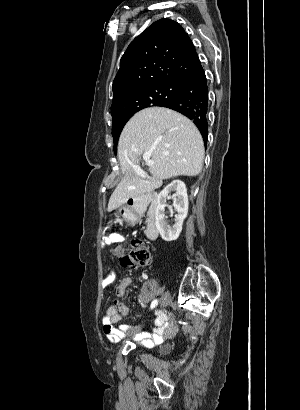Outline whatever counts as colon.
<instances>
[{"instance_id":"1","label":"colon","mask_w":300,"mask_h":410,"mask_svg":"<svg viewBox=\"0 0 300 410\" xmlns=\"http://www.w3.org/2000/svg\"><path fill=\"white\" fill-rule=\"evenodd\" d=\"M150 261V251L141 239H133L129 245L127 253L119 257V264L122 268L133 269L148 264Z\"/></svg>"}]
</instances>
